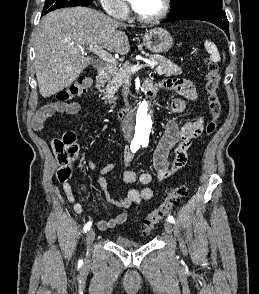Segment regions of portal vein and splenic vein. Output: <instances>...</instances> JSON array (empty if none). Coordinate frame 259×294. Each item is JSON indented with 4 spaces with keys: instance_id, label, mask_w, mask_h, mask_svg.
Returning a JSON list of instances; mask_svg holds the SVG:
<instances>
[{
    "instance_id": "portal-vein-and-splenic-vein-1",
    "label": "portal vein and splenic vein",
    "mask_w": 259,
    "mask_h": 294,
    "mask_svg": "<svg viewBox=\"0 0 259 294\" xmlns=\"http://www.w3.org/2000/svg\"><path fill=\"white\" fill-rule=\"evenodd\" d=\"M88 51H91L95 54H97L103 61H106L108 63H117L116 59L109 53H107L106 51H104L101 47H93V46H89ZM158 64V62L156 61H148L145 60V64L144 65H132L130 67H128L127 69L131 72V73H135L136 71H138L139 69H141L142 67H154Z\"/></svg>"
}]
</instances>
